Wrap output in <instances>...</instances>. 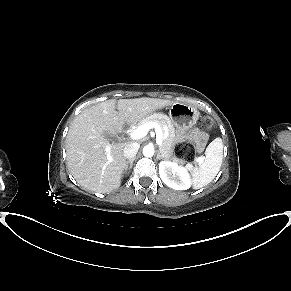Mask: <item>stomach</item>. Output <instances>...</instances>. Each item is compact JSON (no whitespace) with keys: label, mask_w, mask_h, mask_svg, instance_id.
Returning a JSON list of instances; mask_svg holds the SVG:
<instances>
[{"label":"stomach","mask_w":291,"mask_h":291,"mask_svg":"<svg viewBox=\"0 0 291 291\" xmlns=\"http://www.w3.org/2000/svg\"><path fill=\"white\" fill-rule=\"evenodd\" d=\"M169 108V117L178 131L184 132L192 128L199 118V111L191 106L176 102Z\"/></svg>","instance_id":"0dacf381"}]
</instances>
